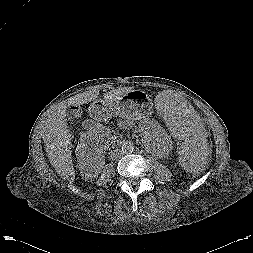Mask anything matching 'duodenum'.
Masks as SVG:
<instances>
[{
	"label": "duodenum",
	"mask_w": 253,
	"mask_h": 253,
	"mask_svg": "<svg viewBox=\"0 0 253 253\" xmlns=\"http://www.w3.org/2000/svg\"><path fill=\"white\" fill-rule=\"evenodd\" d=\"M106 110H107V107L102 104H95L91 109L92 113L95 114V117L97 114L100 117L106 112ZM93 128H94V125L93 123L90 122V126L88 127V129H93Z\"/></svg>",
	"instance_id": "410a0bca"
}]
</instances>
